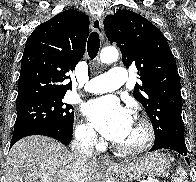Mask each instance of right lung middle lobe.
<instances>
[{
  "label": "right lung middle lobe",
  "mask_w": 196,
  "mask_h": 182,
  "mask_svg": "<svg viewBox=\"0 0 196 182\" xmlns=\"http://www.w3.org/2000/svg\"><path fill=\"white\" fill-rule=\"evenodd\" d=\"M64 95L43 97L17 104L14 131L38 124H48L73 131V107L63 102Z\"/></svg>",
  "instance_id": "dd1d6c3e"
}]
</instances>
